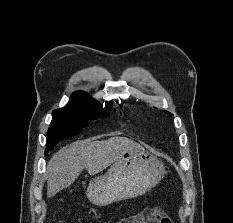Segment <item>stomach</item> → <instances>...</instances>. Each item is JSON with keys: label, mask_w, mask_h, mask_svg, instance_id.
<instances>
[{"label": "stomach", "mask_w": 233, "mask_h": 223, "mask_svg": "<svg viewBox=\"0 0 233 223\" xmlns=\"http://www.w3.org/2000/svg\"><path fill=\"white\" fill-rule=\"evenodd\" d=\"M164 173L158 157L139 145L115 159L104 175L93 177L86 195L94 205H110L120 199L139 197L155 187Z\"/></svg>", "instance_id": "1"}]
</instances>
